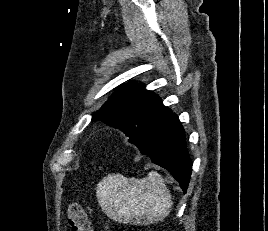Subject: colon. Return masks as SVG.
<instances>
[{"label":"colon","instance_id":"colon-1","mask_svg":"<svg viewBox=\"0 0 268 231\" xmlns=\"http://www.w3.org/2000/svg\"><path fill=\"white\" fill-rule=\"evenodd\" d=\"M68 222L72 231H91L90 219L81 204L72 202L67 209Z\"/></svg>","mask_w":268,"mask_h":231}]
</instances>
